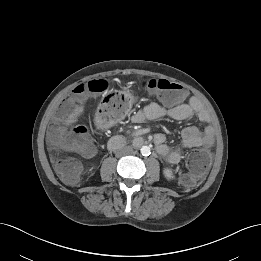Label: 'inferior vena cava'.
<instances>
[{"label":"inferior vena cava","mask_w":261,"mask_h":261,"mask_svg":"<svg viewBox=\"0 0 261 261\" xmlns=\"http://www.w3.org/2000/svg\"><path fill=\"white\" fill-rule=\"evenodd\" d=\"M120 153L123 155H129L133 153V148L131 146H125L121 148Z\"/></svg>","instance_id":"inferior-vena-cava-1"}]
</instances>
